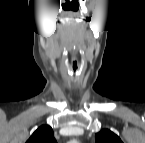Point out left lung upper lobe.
<instances>
[{
    "label": "left lung upper lobe",
    "mask_w": 145,
    "mask_h": 143,
    "mask_svg": "<svg viewBox=\"0 0 145 143\" xmlns=\"http://www.w3.org/2000/svg\"><path fill=\"white\" fill-rule=\"evenodd\" d=\"M96 143H122L121 139L108 129H103L96 134Z\"/></svg>",
    "instance_id": "5c2ea615"
}]
</instances>
